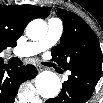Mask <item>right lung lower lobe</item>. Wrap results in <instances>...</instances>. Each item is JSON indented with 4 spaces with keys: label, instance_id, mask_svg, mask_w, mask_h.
Listing matches in <instances>:
<instances>
[{
    "label": "right lung lower lobe",
    "instance_id": "right-lung-lower-lobe-1",
    "mask_svg": "<svg viewBox=\"0 0 103 103\" xmlns=\"http://www.w3.org/2000/svg\"><path fill=\"white\" fill-rule=\"evenodd\" d=\"M36 75L37 70L33 65L9 67L0 64V103H13L19 86Z\"/></svg>",
    "mask_w": 103,
    "mask_h": 103
}]
</instances>
